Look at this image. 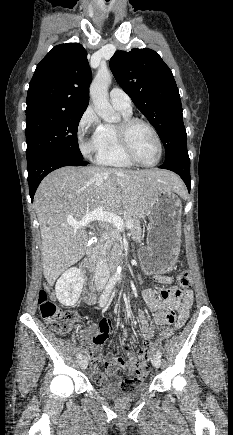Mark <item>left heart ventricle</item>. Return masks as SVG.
<instances>
[{"label": "left heart ventricle", "mask_w": 233, "mask_h": 435, "mask_svg": "<svg viewBox=\"0 0 233 435\" xmlns=\"http://www.w3.org/2000/svg\"><path fill=\"white\" fill-rule=\"evenodd\" d=\"M130 143L135 155L141 162L151 164L157 160V144L152 133L146 126L136 124L131 129Z\"/></svg>", "instance_id": "left-heart-ventricle-1"}]
</instances>
